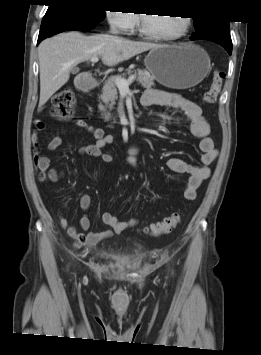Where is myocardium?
Instances as JSON below:
<instances>
[{
    "instance_id": "obj_1",
    "label": "myocardium",
    "mask_w": 261,
    "mask_h": 355,
    "mask_svg": "<svg viewBox=\"0 0 261 355\" xmlns=\"http://www.w3.org/2000/svg\"><path fill=\"white\" fill-rule=\"evenodd\" d=\"M182 20H183V28L180 32H178L177 34L174 35H163V34H158L155 33L151 30H149L146 26L145 23V17L144 15H140V33L150 39H154V40H159V41H175V40H179L182 37H184L191 26V19L188 16H181Z\"/></svg>"
}]
</instances>
